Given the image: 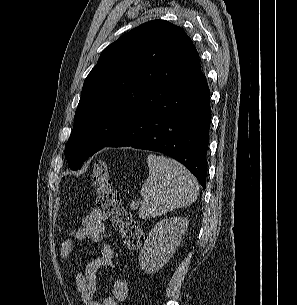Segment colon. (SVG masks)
<instances>
[{
    "label": "colon",
    "mask_w": 297,
    "mask_h": 305,
    "mask_svg": "<svg viewBox=\"0 0 297 305\" xmlns=\"http://www.w3.org/2000/svg\"><path fill=\"white\" fill-rule=\"evenodd\" d=\"M93 183L97 203L111 220L124 245L130 250L138 248L142 242V233L131 211L124 206L119 194L112 187L110 172L104 161L95 164Z\"/></svg>",
    "instance_id": "colon-1"
}]
</instances>
